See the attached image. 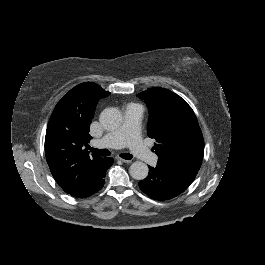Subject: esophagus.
Masks as SVG:
<instances>
[{
  "instance_id": "obj_1",
  "label": "esophagus",
  "mask_w": 265,
  "mask_h": 265,
  "mask_svg": "<svg viewBox=\"0 0 265 265\" xmlns=\"http://www.w3.org/2000/svg\"><path fill=\"white\" fill-rule=\"evenodd\" d=\"M116 159H118V160H120V161H122L124 163H131L132 162L131 160L123 159L121 157H116Z\"/></svg>"
}]
</instances>
